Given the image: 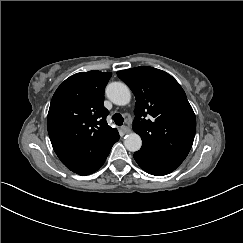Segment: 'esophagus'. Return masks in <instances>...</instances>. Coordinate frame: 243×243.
Masks as SVG:
<instances>
[{
    "label": "esophagus",
    "instance_id": "34e87169",
    "mask_svg": "<svg viewBox=\"0 0 243 243\" xmlns=\"http://www.w3.org/2000/svg\"><path fill=\"white\" fill-rule=\"evenodd\" d=\"M121 131H122L123 134H127V133L130 132V128L127 127V126H123V127L121 128Z\"/></svg>",
    "mask_w": 243,
    "mask_h": 243
}]
</instances>
